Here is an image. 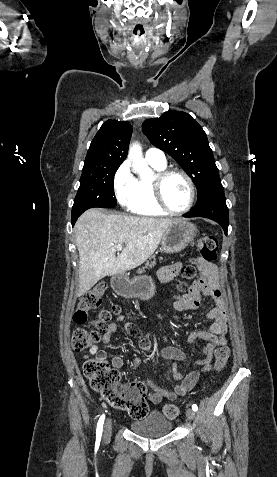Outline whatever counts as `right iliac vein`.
I'll return each instance as SVG.
<instances>
[{"label":"right iliac vein","mask_w":277,"mask_h":477,"mask_svg":"<svg viewBox=\"0 0 277 477\" xmlns=\"http://www.w3.org/2000/svg\"><path fill=\"white\" fill-rule=\"evenodd\" d=\"M112 432V421L111 419H107L105 424H104V429H103V440L107 441L110 439Z\"/></svg>","instance_id":"1"}]
</instances>
